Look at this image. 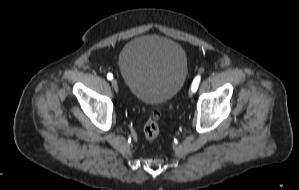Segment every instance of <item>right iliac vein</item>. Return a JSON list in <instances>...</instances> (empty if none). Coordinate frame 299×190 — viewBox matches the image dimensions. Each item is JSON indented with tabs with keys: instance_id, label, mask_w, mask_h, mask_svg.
I'll return each instance as SVG.
<instances>
[{
	"instance_id": "63e3f726",
	"label": "right iliac vein",
	"mask_w": 299,
	"mask_h": 190,
	"mask_svg": "<svg viewBox=\"0 0 299 190\" xmlns=\"http://www.w3.org/2000/svg\"><path fill=\"white\" fill-rule=\"evenodd\" d=\"M111 84H112L113 88L117 91L118 90V82H117V80L113 79L111 81Z\"/></svg>"
}]
</instances>
